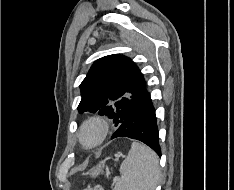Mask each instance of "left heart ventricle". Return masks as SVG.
Wrapping results in <instances>:
<instances>
[{
	"mask_svg": "<svg viewBox=\"0 0 234 190\" xmlns=\"http://www.w3.org/2000/svg\"><path fill=\"white\" fill-rule=\"evenodd\" d=\"M94 136H95L94 132H93V131H90V132H88V133L86 134V139H87L88 141H91V140L94 138Z\"/></svg>",
	"mask_w": 234,
	"mask_h": 190,
	"instance_id": "b2bd125f",
	"label": "left heart ventricle"
}]
</instances>
